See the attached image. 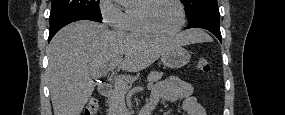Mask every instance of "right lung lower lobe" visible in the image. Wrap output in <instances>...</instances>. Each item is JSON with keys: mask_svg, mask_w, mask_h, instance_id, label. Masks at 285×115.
Here are the masks:
<instances>
[{"mask_svg": "<svg viewBox=\"0 0 285 115\" xmlns=\"http://www.w3.org/2000/svg\"><path fill=\"white\" fill-rule=\"evenodd\" d=\"M83 19H87V20H92V21H97L102 23V20H98V19H94L88 16H82V15H73V16H67L64 18H61L53 23H50V30H49V38L48 41L50 42V40L52 39V37L65 25L72 23L74 21H78V20H83Z\"/></svg>", "mask_w": 285, "mask_h": 115, "instance_id": "1", "label": "right lung lower lobe"}]
</instances>
